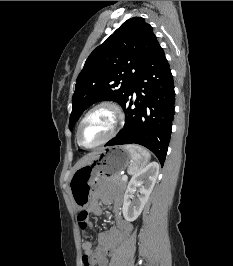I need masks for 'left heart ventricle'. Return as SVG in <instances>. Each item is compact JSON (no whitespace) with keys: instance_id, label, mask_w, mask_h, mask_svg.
Masks as SVG:
<instances>
[{"instance_id":"left-heart-ventricle-1","label":"left heart ventricle","mask_w":233,"mask_h":266,"mask_svg":"<svg viewBox=\"0 0 233 266\" xmlns=\"http://www.w3.org/2000/svg\"><path fill=\"white\" fill-rule=\"evenodd\" d=\"M115 121L109 108H101L92 113L84 122L80 138L83 144L90 146L104 139L111 131Z\"/></svg>"}]
</instances>
